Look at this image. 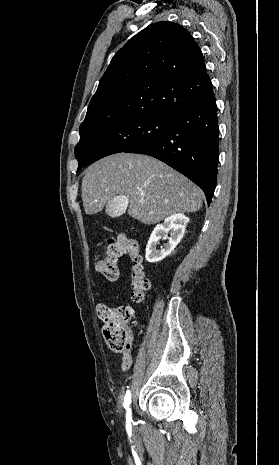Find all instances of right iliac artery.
<instances>
[{"mask_svg": "<svg viewBox=\"0 0 279 465\" xmlns=\"http://www.w3.org/2000/svg\"><path fill=\"white\" fill-rule=\"evenodd\" d=\"M131 404V393L129 390H127L124 398V408H126V422L130 423L132 421V416H131V409L129 408Z\"/></svg>", "mask_w": 279, "mask_h": 465, "instance_id": "82829eb1", "label": "right iliac artery"}]
</instances>
